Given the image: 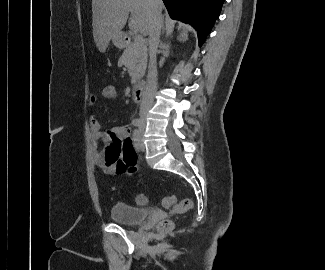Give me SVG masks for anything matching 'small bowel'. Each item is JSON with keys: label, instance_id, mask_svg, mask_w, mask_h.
Returning <instances> with one entry per match:
<instances>
[{"label": "small bowel", "instance_id": "small-bowel-1", "mask_svg": "<svg viewBox=\"0 0 325 270\" xmlns=\"http://www.w3.org/2000/svg\"><path fill=\"white\" fill-rule=\"evenodd\" d=\"M97 101L98 98L95 95H90L88 98L90 106H94ZM89 129L93 161L97 168L111 176L136 169L137 154L131 144L130 126L116 125L102 130L99 122L91 117ZM100 146L103 148L100 149Z\"/></svg>", "mask_w": 325, "mask_h": 270}]
</instances>
